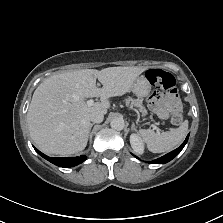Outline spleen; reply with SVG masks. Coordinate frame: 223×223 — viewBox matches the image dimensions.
Masks as SVG:
<instances>
[{"instance_id": "obj_1", "label": "spleen", "mask_w": 223, "mask_h": 223, "mask_svg": "<svg viewBox=\"0 0 223 223\" xmlns=\"http://www.w3.org/2000/svg\"><path fill=\"white\" fill-rule=\"evenodd\" d=\"M188 130V121L185 120L177 129L167 132H154L141 129L139 134L153 153L167 152L178 146L184 140Z\"/></svg>"}]
</instances>
